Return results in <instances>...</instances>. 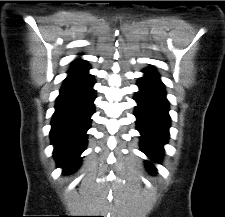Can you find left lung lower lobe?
<instances>
[{
    "label": "left lung lower lobe",
    "instance_id": "1",
    "mask_svg": "<svg viewBox=\"0 0 225 217\" xmlns=\"http://www.w3.org/2000/svg\"><path fill=\"white\" fill-rule=\"evenodd\" d=\"M145 76L137 85L135 94L136 106L134 115L137 118V130L141 133L142 151L153 161L159 162L163 145L169 138L170 116L164 85L153 67L144 70ZM150 172H154L151 163H147Z\"/></svg>",
    "mask_w": 225,
    "mask_h": 217
}]
</instances>
